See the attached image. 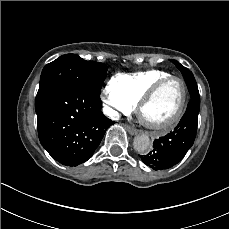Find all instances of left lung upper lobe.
Listing matches in <instances>:
<instances>
[{
  "mask_svg": "<svg viewBox=\"0 0 229 229\" xmlns=\"http://www.w3.org/2000/svg\"><path fill=\"white\" fill-rule=\"evenodd\" d=\"M172 63H174L176 65V67L181 71L183 77L191 74L192 72L187 69L186 67L182 66L180 63H178L176 60H170Z\"/></svg>",
  "mask_w": 229,
  "mask_h": 229,
  "instance_id": "5c2ea615",
  "label": "left lung upper lobe"
}]
</instances>
